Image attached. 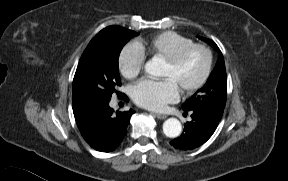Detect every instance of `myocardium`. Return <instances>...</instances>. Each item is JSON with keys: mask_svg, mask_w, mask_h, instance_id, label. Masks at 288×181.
<instances>
[{"mask_svg": "<svg viewBox=\"0 0 288 181\" xmlns=\"http://www.w3.org/2000/svg\"><path fill=\"white\" fill-rule=\"evenodd\" d=\"M194 50H201L205 53L206 66H205V70H204L202 76L200 77V79L197 82H195L194 84H192L189 87L181 89V92L184 94H190V93H193V92L199 90L208 81V79L212 73L213 63H214V56H213L212 50L205 44L193 43L187 47L180 49L175 54H173L171 57L163 60V62L165 64H167L171 67H174V66L178 65L190 52H192Z\"/></svg>", "mask_w": 288, "mask_h": 181, "instance_id": "f54148a6", "label": "myocardium"}]
</instances>
